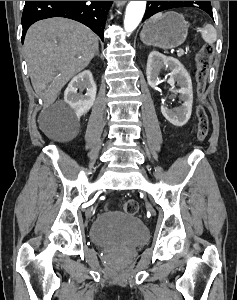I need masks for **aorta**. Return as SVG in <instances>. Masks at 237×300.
<instances>
[{
	"label": "aorta",
	"mask_w": 237,
	"mask_h": 300,
	"mask_svg": "<svg viewBox=\"0 0 237 300\" xmlns=\"http://www.w3.org/2000/svg\"><path fill=\"white\" fill-rule=\"evenodd\" d=\"M146 1H130L124 19V29L126 33H132L138 27L145 13Z\"/></svg>",
	"instance_id": "1"
}]
</instances>
